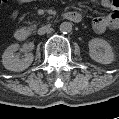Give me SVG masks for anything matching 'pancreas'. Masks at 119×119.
Wrapping results in <instances>:
<instances>
[{"mask_svg": "<svg viewBox=\"0 0 119 119\" xmlns=\"http://www.w3.org/2000/svg\"><path fill=\"white\" fill-rule=\"evenodd\" d=\"M35 28H36V24L32 25V26L30 27V30H34Z\"/></svg>", "mask_w": 119, "mask_h": 119, "instance_id": "pancreas-1", "label": "pancreas"}]
</instances>
